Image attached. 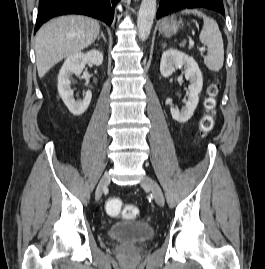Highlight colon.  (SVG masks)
Instances as JSON below:
<instances>
[{"instance_id": "obj_1", "label": "colon", "mask_w": 265, "mask_h": 269, "mask_svg": "<svg viewBox=\"0 0 265 269\" xmlns=\"http://www.w3.org/2000/svg\"><path fill=\"white\" fill-rule=\"evenodd\" d=\"M219 92L218 85L212 83L207 90V98L205 99V108L208 114L201 121V130L204 135L208 134L214 125L213 114L216 108V98ZM106 212L110 216H122L128 220H133L138 214V210L134 205H124L118 198H110L105 204Z\"/></svg>"}]
</instances>
